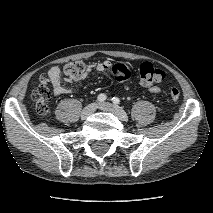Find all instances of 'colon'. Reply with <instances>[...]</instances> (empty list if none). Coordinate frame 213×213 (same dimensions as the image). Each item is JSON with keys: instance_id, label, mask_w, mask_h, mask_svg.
I'll use <instances>...</instances> for the list:
<instances>
[{"instance_id": "5ec220e1", "label": "colon", "mask_w": 213, "mask_h": 213, "mask_svg": "<svg viewBox=\"0 0 213 213\" xmlns=\"http://www.w3.org/2000/svg\"><path fill=\"white\" fill-rule=\"evenodd\" d=\"M64 74L73 80L83 79L87 74V66L82 61H72L64 66ZM112 73L116 80L124 82L131 76L129 67L123 63H116L112 66ZM139 81L142 85L153 87L161 83L165 78V73L160 68L150 62H144L138 69ZM48 82L45 78H41L39 85L34 89L32 98L36 103L37 111L41 115H48L50 112L48 101L50 99V91ZM170 97L173 101H177L180 97V92L177 88L170 90Z\"/></svg>"}]
</instances>
